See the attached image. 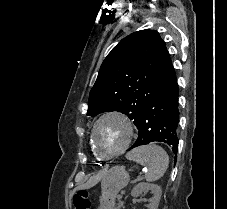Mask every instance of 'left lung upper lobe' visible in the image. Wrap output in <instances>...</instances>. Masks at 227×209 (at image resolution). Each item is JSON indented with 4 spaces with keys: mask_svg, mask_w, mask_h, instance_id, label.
Masks as SVG:
<instances>
[{
    "mask_svg": "<svg viewBox=\"0 0 227 209\" xmlns=\"http://www.w3.org/2000/svg\"><path fill=\"white\" fill-rule=\"evenodd\" d=\"M174 73L158 32H134L122 39L103 61L89 95L87 115L118 111L136 125L146 104Z\"/></svg>",
    "mask_w": 227,
    "mask_h": 209,
    "instance_id": "1",
    "label": "left lung upper lobe"
}]
</instances>
